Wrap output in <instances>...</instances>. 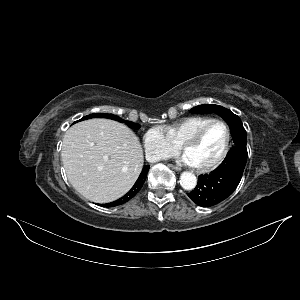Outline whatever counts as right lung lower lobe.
Returning a JSON list of instances; mask_svg holds the SVG:
<instances>
[{"instance_id": "right-lung-lower-lobe-1", "label": "right lung lower lobe", "mask_w": 300, "mask_h": 300, "mask_svg": "<svg viewBox=\"0 0 300 300\" xmlns=\"http://www.w3.org/2000/svg\"><path fill=\"white\" fill-rule=\"evenodd\" d=\"M148 169H149V166H145L143 168V170H142L139 178L137 179L136 183L134 184V186L131 188V190L127 194H125L123 197H121L120 199H118L114 202H111V203H108V204H103L102 206L114 207V206H117V205H121V204L129 201L131 198H133L140 191L144 181L146 180Z\"/></svg>"}]
</instances>
